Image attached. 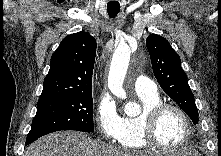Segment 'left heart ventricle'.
<instances>
[{"instance_id":"obj_1","label":"left heart ventricle","mask_w":221,"mask_h":156,"mask_svg":"<svg viewBox=\"0 0 221 156\" xmlns=\"http://www.w3.org/2000/svg\"><path fill=\"white\" fill-rule=\"evenodd\" d=\"M185 131L181 116L174 110H167L158 122L156 136L163 145L173 147L182 141Z\"/></svg>"}]
</instances>
